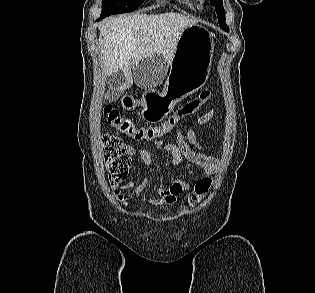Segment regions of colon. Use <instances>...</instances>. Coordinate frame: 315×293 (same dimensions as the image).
Listing matches in <instances>:
<instances>
[{"instance_id":"1","label":"colon","mask_w":315,"mask_h":293,"mask_svg":"<svg viewBox=\"0 0 315 293\" xmlns=\"http://www.w3.org/2000/svg\"><path fill=\"white\" fill-rule=\"evenodd\" d=\"M210 97L211 92L209 90L202 91L197 97L180 106L172 116L159 126L137 127L128 117L121 115L118 110L113 108H106L104 113L107 122L129 138L136 141L153 140L173 130L182 119L195 113ZM102 143L109 178L112 183L119 184L127 176L131 157L124 142L117 136H104ZM211 184L212 181L209 178L200 179L195 185L193 200L195 202L201 201L209 191Z\"/></svg>"}]
</instances>
